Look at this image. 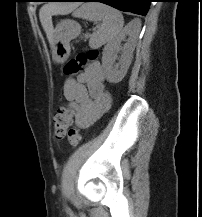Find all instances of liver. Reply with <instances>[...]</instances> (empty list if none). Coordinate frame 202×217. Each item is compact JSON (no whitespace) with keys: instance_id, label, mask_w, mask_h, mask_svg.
<instances>
[{"instance_id":"1","label":"liver","mask_w":202,"mask_h":217,"mask_svg":"<svg viewBox=\"0 0 202 217\" xmlns=\"http://www.w3.org/2000/svg\"><path fill=\"white\" fill-rule=\"evenodd\" d=\"M76 7V4H46L40 9L39 18L51 45L54 34L52 16L67 15L71 13Z\"/></svg>"}]
</instances>
